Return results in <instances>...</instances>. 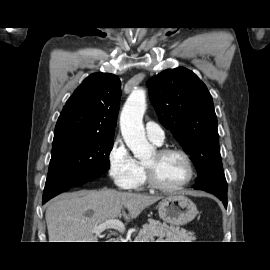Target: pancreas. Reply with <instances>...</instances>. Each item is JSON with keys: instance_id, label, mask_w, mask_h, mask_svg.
<instances>
[{"instance_id": "cf45deb5", "label": "pancreas", "mask_w": 270, "mask_h": 270, "mask_svg": "<svg viewBox=\"0 0 270 270\" xmlns=\"http://www.w3.org/2000/svg\"><path fill=\"white\" fill-rule=\"evenodd\" d=\"M155 237L166 239L168 242H193L196 239L191 231L149 219L148 224H144L140 229L134 242H154Z\"/></svg>"}]
</instances>
